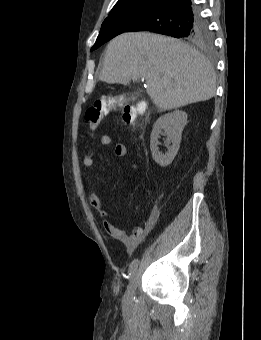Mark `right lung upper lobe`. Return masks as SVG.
<instances>
[{
    "instance_id": "1",
    "label": "right lung upper lobe",
    "mask_w": 261,
    "mask_h": 340,
    "mask_svg": "<svg viewBox=\"0 0 261 340\" xmlns=\"http://www.w3.org/2000/svg\"><path fill=\"white\" fill-rule=\"evenodd\" d=\"M138 1H154V2H160L161 0H119L115 6L132 3V2H138Z\"/></svg>"
}]
</instances>
